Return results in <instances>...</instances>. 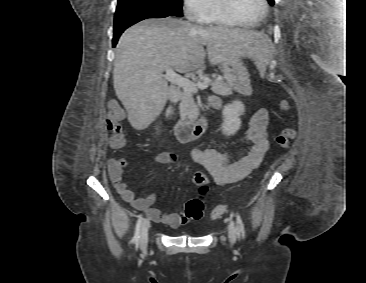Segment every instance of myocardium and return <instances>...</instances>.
Returning <instances> with one entry per match:
<instances>
[{"label":"myocardium","mask_w":366,"mask_h":283,"mask_svg":"<svg viewBox=\"0 0 366 283\" xmlns=\"http://www.w3.org/2000/svg\"><path fill=\"white\" fill-rule=\"evenodd\" d=\"M263 4V14L253 23H246L241 20L234 7V0H217V4L221 12L233 23L242 27H255L260 24L267 16L269 6L267 0H261Z\"/></svg>","instance_id":"myocardium-1"}]
</instances>
